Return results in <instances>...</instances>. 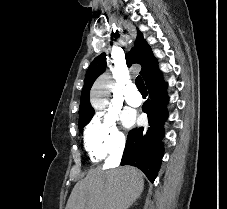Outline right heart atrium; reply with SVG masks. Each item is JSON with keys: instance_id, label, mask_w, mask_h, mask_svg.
I'll return each instance as SVG.
<instances>
[{"instance_id": "d8ad5b80", "label": "right heart atrium", "mask_w": 227, "mask_h": 209, "mask_svg": "<svg viewBox=\"0 0 227 209\" xmlns=\"http://www.w3.org/2000/svg\"><path fill=\"white\" fill-rule=\"evenodd\" d=\"M124 144L125 137L112 117L96 116L85 128L84 146L94 161L121 153Z\"/></svg>"}]
</instances>
